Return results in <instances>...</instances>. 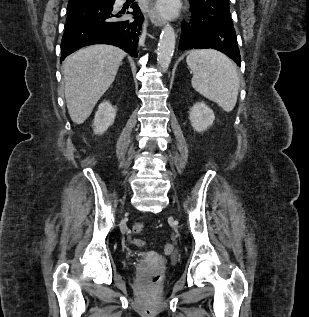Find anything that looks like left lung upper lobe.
<instances>
[{
    "instance_id": "5c2ea615",
    "label": "left lung upper lobe",
    "mask_w": 309,
    "mask_h": 317,
    "mask_svg": "<svg viewBox=\"0 0 309 317\" xmlns=\"http://www.w3.org/2000/svg\"><path fill=\"white\" fill-rule=\"evenodd\" d=\"M190 4L193 10L233 23L230 17L229 0H190Z\"/></svg>"
}]
</instances>
